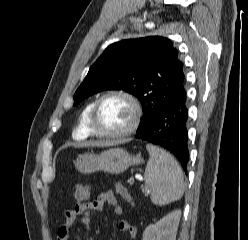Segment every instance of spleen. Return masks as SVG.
<instances>
[{
	"mask_svg": "<svg viewBox=\"0 0 248 240\" xmlns=\"http://www.w3.org/2000/svg\"><path fill=\"white\" fill-rule=\"evenodd\" d=\"M149 160L144 179L155 205H166L179 200L185 190L184 174L178 162L165 150L147 144Z\"/></svg>",
	"mask_w": 248,
	"mask_h": 240,
	"instance_id": "spleen-1",
	"label": "spleen"
}]
</instances>
